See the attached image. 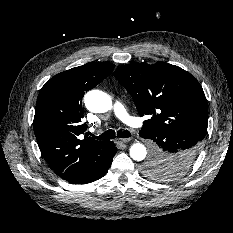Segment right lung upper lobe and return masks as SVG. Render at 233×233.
<instances>
[{"label":"right lung upper lobe","mask_w":233,"mask_h":233,"mask_svg":"<svg viewBox=\"0 0 233 233\" xmlns=\"http://www.w3.org/2000/svg\"><path fill=\"white\" fill-rule=\"evenodd\" d=\"M115 65L89 62L61 72L41 88L35 108L33 127L40 151L56 174L62 176L86 156L108 141L85 136L82 123V97L105 79Z\"/></svg>","instance_id":"cb5924a9"}]
</instances>
